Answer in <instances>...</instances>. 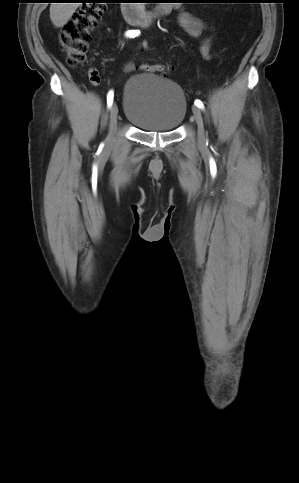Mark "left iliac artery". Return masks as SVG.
I'll return each mask as SVG.
<instances>
[{
  "label": "left iliac artery",
  "instance_id": "obj_1",
  "mask_svg": "<svg viewBox=\"0 0 299 483\" xmlns=\"http://www.w3.org/2000/svg\"><path fill=\"white\" fill-rule=\"evenodd\" d=\"M194 104H195L197 107L201 108V109H203V108H204L203 103H202V101H201V100H198V99H197V100H195Z\"/></svg>",
  "mask_w": 299,
  "mask_h": 483
}]
</instances>
